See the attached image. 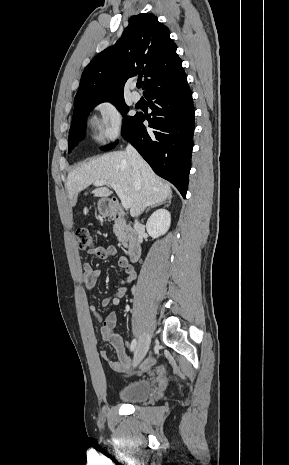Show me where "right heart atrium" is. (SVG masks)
<instances>
[{
    "mask_svg": "<svg viewBox=\"0 0 289 465\" xmlns=\"http://www.w3.org/2000/svg\"><path fill=\"white\" fill-rule=\"evenodd\" d=\"M100 114L98 124L100 135L107 141L119 138L123 127V115L118 105L111 100H104L97 105Z\"/></svg>",
    "mask_w": 289,
    "mask_h": 465,
    "instance_id": "1",
    "label": "right heart atrium"
}]
</instances>
